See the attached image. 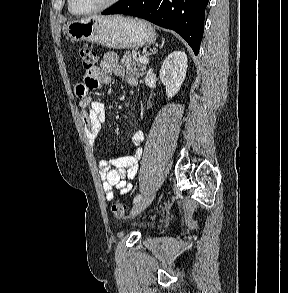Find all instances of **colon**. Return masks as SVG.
<instances>
[{"instance_id":"1","label":"colon","mask_w":288,"mask_h":293,"mask_svg":"<svg viewBox=\"0 0 288 293\" xmlns=\"http://www.w3.org/2000/svg\"><path fill=\"white\" fill-rule=\"evenodd\" d=\"M79 56L85 72H90L95 68L98 60V56L95 51L89 48H81L79 50ZM111 212L113 216L118 219H125L127 216V208L121 203H113L111 205Z\"/></svg>"}]
</instances>
